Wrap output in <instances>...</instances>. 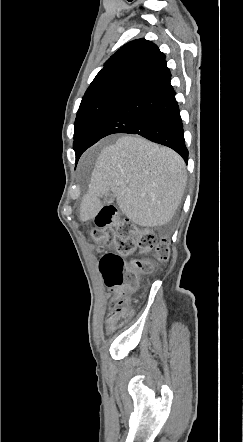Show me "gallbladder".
Segmentation results:
<instances>
[{
    "label": "gallbladder",
    "instance_id": "obj_1",
    "mask_svg": "<svg viewBox=\"0 0 243 442\" xmlns=\"http://www.w3.org/2000/svg\"><path fill=\"white\" fill-rule=\"evenodd\" d=\"M103 202L106 203H113L114 207H115V200H114V194L111 192H108L107 194L104 195L103 197Z\"/></svg>",
    "mask_w": 243,
    "mask_h": 442
}]
</instances>
